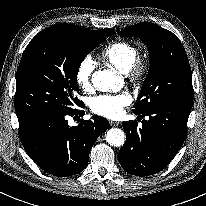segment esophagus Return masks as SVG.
Wrapping results in <instances>:
<instances>
[{
	"mask_svg": "<svg viewBox=\"0 0 206 206\" xmlns=\"http://www.w3.org/2000/svg\"><path fill=\"white\" fill-rule=\"evenodd\" d=\"M110 124H111L112 126H118L120 123L117 122V121H110Z\"/></svg>",
	"mask_w": 206,
	"mask_h": 206,
	"instance_id": "obj_1",
	"label": "esophagus"
}]
</instances>
